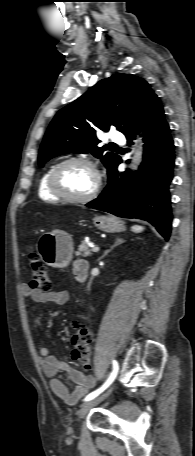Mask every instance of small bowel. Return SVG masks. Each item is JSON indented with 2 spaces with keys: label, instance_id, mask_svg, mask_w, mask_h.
I'll return each mask as SVG.
<instances>
[{
  "label": "small bowel",
  "instance_id": "1",
  "mask_svg": "<svg viewBox=\"0 0 195 456\" xmlns=\"http://www.w3.org/2000/svg\"><path fill=\"white\" fill-rule=\"evenodd\" d=\"M74 263V270L79 262ZM22 293L26 297H30L35 302H53L55 304H64L69 298V294L64 289H56L50 292H43L39 289H33L29 285L22 287ZM39 356L42 361V368L47 377L50 378V388L52 392L61 398L69 405L76 404L92 387L96 381L93 376L85 375L81 371L71 367L67 362L61 361L50 355L47 347L43 346L39 349ZM59 372L67 373L71 381L76 384L75 389L70 392L65 384L56 376Z\"/></svg>",
  "mask_w": 195,
  "mask_h": 456
}]
</instances>
